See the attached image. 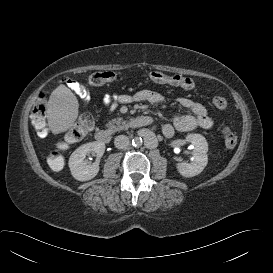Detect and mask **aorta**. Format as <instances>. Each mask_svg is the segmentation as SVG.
<instances>
[{
  "instance_id": "1",
  "label": "aorta",
  "mask_w": 273,
  "mask_h": 273,
  "mask_svg": "<svg viewBox=\"0 0 273 273\" xmlns=\"http://www.w3.org/2000/svg\"><path fill=\"white\" fill-rule=\"evenodd\" d=\"M132 144L134 146H140L142 144V139L140 137H136L132 140Z\"/></svg>"
}]
</instances>
